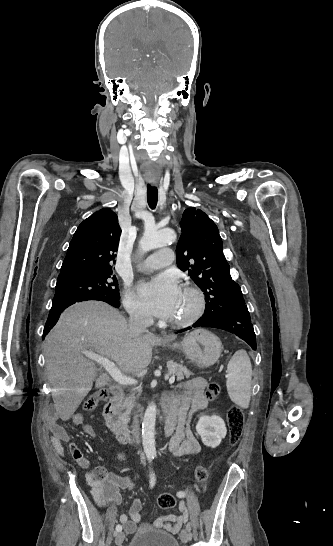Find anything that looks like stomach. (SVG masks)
Returning <instances> with one entry per match:
<instances>
[{"mask_svg": "<svg viewBox=\"0 0 333 546\" xmlns=\"http://www.w3.org/2000/svg\"><path fill=\"white\" fill-rule=\"evenodd\" d=\"M170 347L173 350H181L187 358L201 368L215 364L222 351L220 339L205 329L192 331L182 341L174 343Z\"/></svg>", "mask_w": 333, "mask_h": 546, "instance_id": "stomach-1", "label": "stomach"}]
</instances>
